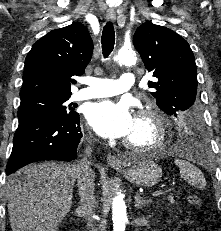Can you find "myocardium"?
<instances>
[{
    "label": "myocardium",
    "instance_id": "myocardium-1",
    "mask_svg": "<svg viewBox=\"0 0 221 231\" xmlns=\"http://www.w3.org/2000/svg\"><path fill=\"white\" fill-rule=\"evenodd\" d=\"M136 119L143 120L151 125L154 130V138L147 143H136L130 139H124L123 144L136 152H152L164 147L167 140V126L163 115L154 107L147 106L138 110Z\"/></svg>",
    "mask_w": 221,
    "mask_h": 231
}]
</instances>
